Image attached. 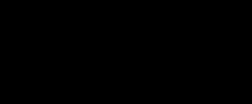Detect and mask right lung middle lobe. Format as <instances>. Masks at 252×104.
<instances>
[{
  "mask_svg": "<svg viewBox=\"0 0 252 104\" xmlns=\"http://www.w3.org/2000/svg\"><path fill=\"white\" fill-rule=\"evenodd\" d=\"M116 22V19L78 18L46 38L35 62L76 55L100 64L103 40Z\"/></svg>",
  "mask_w": 252,
  "mask_h": 104,
  "instance_id": "right-lung-middle-lobe-1",
  "label": "right lung middle lobe"
}]
</instances>
